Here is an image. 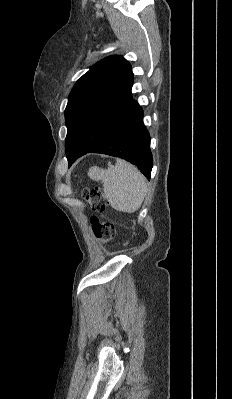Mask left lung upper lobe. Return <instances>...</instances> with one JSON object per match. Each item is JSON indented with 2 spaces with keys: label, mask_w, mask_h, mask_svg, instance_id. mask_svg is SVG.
I'll return each mask as SVG.
<instances>
[{
  "label": "left lung upper lobe",
  "mask_w": 232,
  "mask_h": 399,
  "mask_svg": "<svg viewBox=\"0 0 232 399\" xmlns=\"http://www.w3.org/2000/svg\"><path fill=\"white\" fill-rule=\"evenodd\" d=\"M130 64L113 55L97 62L74 85L65 109L69 165L104 140L133 107Z\"/></svg>",
  "instance_id": "obj_1"
}]
</instances>
